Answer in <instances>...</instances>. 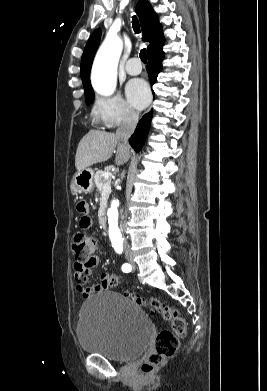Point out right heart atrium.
Listing matches in <instances>:
<instances>
[{"label":"right heart atrium","instance_id":"obj_1","mask_svg":"<svg viewBox=\"0 0 267 391\" xmlns=\"http://www.w3.org/2000/svg\"><path fill=\"white\" fill-rule=\"evenodd\" d=\"M92 116L98 124L106 128L131 125L138 119L137 112L120 95L97 97Z\"/></svg>","mask_w":267,"mask_h":391}]
</instances>
